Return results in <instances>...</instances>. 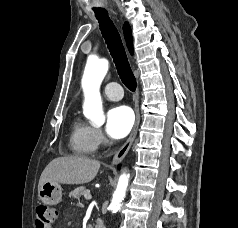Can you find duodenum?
I'll list each match as a JSON object with an SVG mask.
<instances>
[{"mask_svg":"<svg viewBox=\"0 0 238 228\" xmlns=\"http://www.w3.org/2000/svg\"><path fill=\"white\" fill-rule=\"evenodd\" d=\"M95 228H105L104 222L101 218L96 219Z\"/></svg>","mask_w":238,"mask_h":228,"instance_id":"1","label":"duodenum"}]
</instances>
